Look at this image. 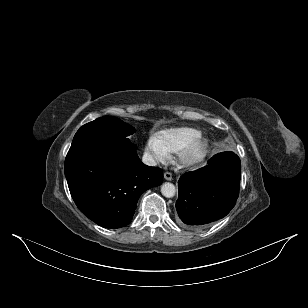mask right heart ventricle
<instances>
[{
  "mask_svg": "<svg viewBox=\"0 0 308 308\" xmlns=\"http://www.w3.org/2000/svg\"><path fill=\"white\" fill-rule=\"evenodd\" d=\"M199 135L200 131L195 128L178 127L158 132L156 139L168 153H175Z\"/></svg>",
  "mask_w": 308,
  "mask_h": 308,
  "instance_id": "right-heart-ventricle-1",
  "label": "right heart ventricle"
}]
</instances>
